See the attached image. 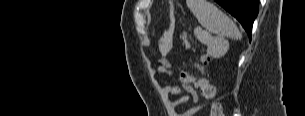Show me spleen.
I'll return each instance as SVG.
<instances>
[{
	"instance_id": "spleen-1",
	"label": "spleen",
	"mask_w": 305,
	"mask_h": 116,
	"mask_svg": "<svg viewBox=\"0 0 305 116\" xmlns=\"http://www.w3.org/2000/svg\"><path fill=\"white\" fill-rule=\"evenodd\" d=\"M186 3L202 27L216 35L208 43L211 49L215 45L227 47L225 37L232 39L242 37L236 24L212 3L206 0H187Z\"/></svg>"
}]
</instances>
